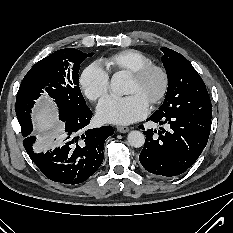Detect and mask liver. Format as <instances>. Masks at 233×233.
Here are the masks:
<instances>
[{
  "label": "liver",
  "instance_id": "1",
  "mask_svg": "<svg viewBox=\"0 0 233 233\" xmlns=\"http://www.w3.org/2000/svg\"><path fill=\"white\" fill-rule=\"evenodd\" d=\"M54 111L55 107L48 102L42 103L35 111L36 132L44 134L47 139L53 136L58 127Z\"/></svg>",
  "mask_w": 233,
  "mask_h": 233
}]
</instances>
